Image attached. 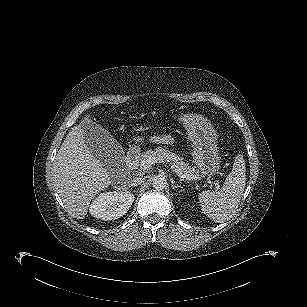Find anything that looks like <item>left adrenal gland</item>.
Masks as SVG:
<instances>
[{
    "instance_id": "a2214340",
    "label": "left adrenal gland",
    "mask_w": 307,
    "mask_h": 307,
    "mask_svg": "<svg viewBox=\"0 0 307 307\" xmlns=\"http://www.w3.org/2000/svg\"><path fill=\"white\" fill-rule=\"evenodd\" d=\"M171 187H172L173 190H176L177 188L178 189L180 188L181 191H184V189H183V187L181 185L174 184V182H172Z\"/></svg>"
}]
</instances>
